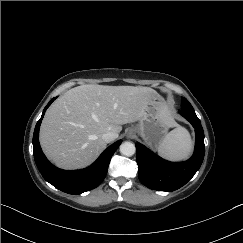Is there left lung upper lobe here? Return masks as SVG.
Here are the masks:
<instances>
[{"label":"left lung upper lobe","mask_w":243,"mask_h":243,"mask_svg":"<svg viewBox=\"0 0 243 243\" xmlns=\"http://www.w3.org/2000/svg\"><path fill=\"white\" fill-rule=\"evenodd\" d=\"M181 110H187L190 112H195L191 104L188 102L186 98H182V105H181Z\"/></svg>","instance_id":"1"}]
</instances>
